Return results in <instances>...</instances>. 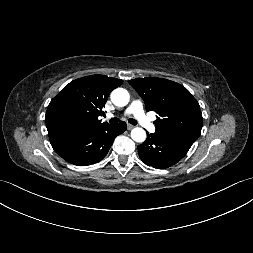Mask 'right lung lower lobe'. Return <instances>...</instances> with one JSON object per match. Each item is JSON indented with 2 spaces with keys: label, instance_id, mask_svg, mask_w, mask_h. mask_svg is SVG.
Returning <instances> with one entry per match:
<instances>
[{
  "label": "right lung lower lobe",
  "instance_id": "98d812e1",
  "mask_svg": "<svg viewBox=\"0 0 253 253\" xmlns=\"http://www.w3.org/2000/svg\"><path fill=\"white\" fill-rule=\"evenodd\" d=\"M127 125H107L76 134L51 143L55 152L67 162L77 165H91L101 161L108 153L116 136L126 131Z\"/></svg>",
  "mask_w": 253,
  "mask_h": 253
}]
</instances>
